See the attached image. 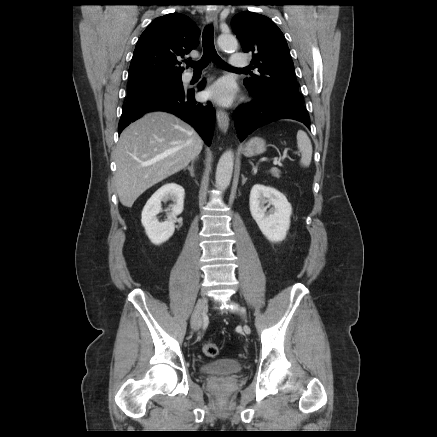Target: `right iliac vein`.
<instances>
[{"mask_svg":"<svg viewBox=\"0 0 437 437\" xmlns=\"http://www.w3.org/2000/svg\"><path fill=\"white\" fill-rule=\"evenodd\" d=\"M208 300L205 296L201 297L195 306L191 318V327L194 331L199 330L202 325L203 318L207 309Z\"/></svg>","mask_w":437,"mask_h":437,"instance_id":"obj_1","label":"right iliac vein"}]
</instances>
